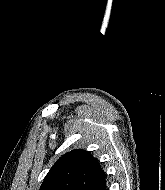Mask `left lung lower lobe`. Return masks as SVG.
<instances>
[{
	"label": "left lung lower lobe",
	"instance_id": "0a47b994",
	"mask_svg": "<svg viewBox=\"0 0 165 190\" xmlns=\"http://www.w3.org/2000/svg\"><path fill=\"white\" fill-rule=\"evenodd\" d=\"M103 190H106V186L103 188Z\"/></svg>",
	"mask_w": 165,
	"mask_h": 190
}]
</instances>
